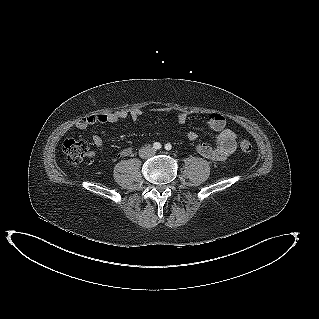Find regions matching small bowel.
Masks as SVG:
<instances>
[{"mask_svg":"<svg viewBox=\"0 0 319 319\" xmlns=\"http://www.w3.org/2000/svg\"><path fill=\"white\" fill-rule=\"evenodd\" d=\"M153 113L173 114L177 117L180 124H184L189 113L184 110H177L171 107H158L150 110ZM143 110L136 108L131 111L118 110L113 112H102L89 115L76 124V128L80 131L87 129L89 126L97 123H115L117 121L130 118L137 121L142 116ZM207 124L211 130L217 133L215 145L212 146L206 142L198 141V134L194 131L188 132V139L193 143L196 151L203 157L214 161L223 162L229 158L237 148L236 133L226 127V119L220 112H212L207 116ZM93 144L97 151L103 149V139L99 134L92 136ZM133 154V148L127 146L119 151L121 157H128Z\"/></svg>","mask_w":319,"mask_h":319,"instance_id":"obj_1","label":"small bowel"}]
</instances>
